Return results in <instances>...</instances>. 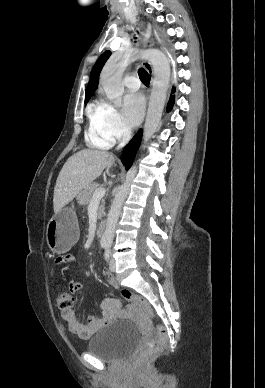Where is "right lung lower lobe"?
Segmentation results:
<instances>
[{"mask_svg":"<svg viewBox=\"0 0 265 388\" xmlns=\"http://www.w3.org/2000/svg\"><path fill=\"white\" fill-rule=\"evenodd\" d=\"M141 137H142V130L140 129L138 133L132 138V140L123 150L121 160L123 165L126 167V170H128L133 163L136 152L141 142Z\"/></svg>","mask_w":265,"mask_h":388,"instance_id":"obj_1","label":"right lung lower lobe"}]
</instances>
